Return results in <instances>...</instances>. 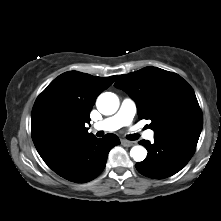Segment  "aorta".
<instances>
[{
    "label": "aorta",
    "mask_w": 221,
    "mask_h": 221,
    "mask_svg": "<svg viewBox=\"0 0 221 221\" xmlns=\"http://www.w3.org/2000/svg\"><path fill=\"white\" fill-rule=\"evenodd\" d=\"M97 109L104 115H112L119 108V99L116 94L105 92L99 95L96 102ZM130 156L136 161L141 162L147 156V150L140 145L132 147Z\"/></svg>",
    "instance_id": "1"
}]
</instances>
